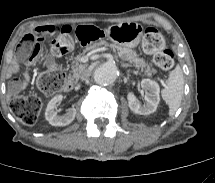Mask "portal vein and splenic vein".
Returning <instances> with one entry per match:
<instances>
[{"instance_id": "obj_1", "label": "portal vein and splenic vein", "mask_w": 215, "mask_h": 183, "mask_svg": "<svg viewBox=\"0 0 215 183\" xmlns=\"http://www.w3.org/2000/svg\"><path fill=\"white\" fill-rule=\"evenodd\" d=\"M108 50L106 47H101L93 50L92 52H89L88 54L85 55V58L88 59L93 53L98 52V51H105Z\"/></svg>"}]
</instances>
